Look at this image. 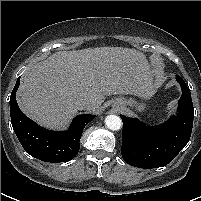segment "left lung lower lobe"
Wrapping results in <instances>:
<instances>
[{"label": "left lung lower lobe", "mask_w": 201, "mask_h": 201, "mask_svg": "<svg viewBox=\"0 0 201 201\" xmlns=\"http://www.w3.org/2000/svg\"><path fill=\"white\" fill-rule=\"evenodd\" d=\"M182 88L178 114L166 123L148 126L135 118L120 115L123 121L121 154L131 166L152 169L170 163L188 143L194 119L191 92L176 75Z\"/></svg>", "instance_id": "1"}]
</instances>
